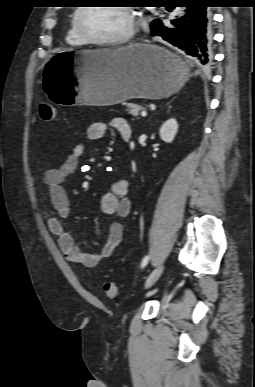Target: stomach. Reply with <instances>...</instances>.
Listing matches in <instances>:
<instances>
[{
	"label": "stomach",
	"instance_id": "obj_1",
	"mask_svg": "<svg viewBox=\"0 0 255 387\" xmlns=\"http://www.w3.org/2000/svg\"><path fill=\"white\" fill-rule=\"evenodd\" d=\"M74 50L56 52L43 70L44 94L59 108L113 105L131 98L160 99L178 92L189 76L181 59L154 45L110 50L76 46Z\"/></svg>",
	"mask_w": 255,
	"mask_h": 387
}]
</instances>
